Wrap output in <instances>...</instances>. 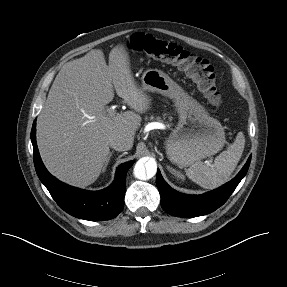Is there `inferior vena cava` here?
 <instances>
[{"label":"inferior vena cava","mask_w":287,"mask_h":287,"mask_svg":"<svg viewBox=\"0 0 287 287\" xmlns=\"http://www.w3.org/2000/svg\"><path fill=\"white\" fill-rule=\"evenodd\" d=\"M109 146L116 151H127L130 150L129 144L122 138L114 137L109 141Z\"/></svg>","instance_id":"1"}]
</instances>
